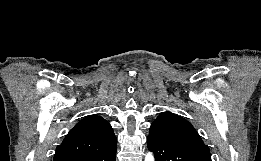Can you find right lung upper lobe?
I'll return each instance as SVG.
<instances>
[{
  "mask_svg": "<svg viewBox=\"0 0 261 161\" xmlns=\"http://www.w3.org/2000/svg\"><path fill=\"white\" fill-rule=\"evenodd\" d=\"M116 143L110 124L99 116H88L71 129L57 146L53 161L102 151Z\"/></svg>",
  "mask_w": 261,
  "mask_h": 161,
  "instance_id": "obj_1",
  "label": "right lung upper lobe"
}]
</instances>
